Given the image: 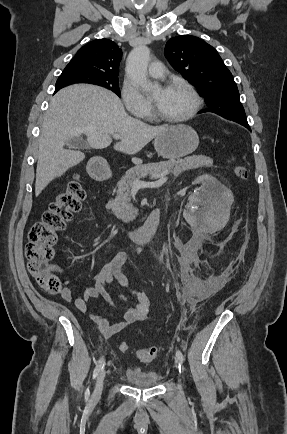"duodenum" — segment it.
Instances as JSON below:
<instances>
[{
    "instance_id": "1",
    "label": "duodenum",
    "mask_w": 287,
    "mask_h": 434,
    "mask_svg": "<svg viewBox=\"0 0 287 434\" xmlns=\"http://www.w3.org/2000/svg\"><path fill=\"white\" fill-rule=\"evenodd\" d=\"M90 174L91 176L96 180H104L111 177V172L109 170L107 161L105 159H99L97 161L92 162L90 165ZM161 217V210L160 209H154L147 221L139 228H136L134 230H131L126 233L128 238L138 244H147L149 243L159 226Z\"/></svg>"
}]
</instances>
